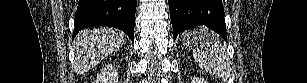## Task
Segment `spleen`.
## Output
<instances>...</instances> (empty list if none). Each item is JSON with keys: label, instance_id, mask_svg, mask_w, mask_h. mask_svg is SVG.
<instances>
[{"label": "spleen", "instance_id": "3e777b00", "mask_svg": "<svg viewBox=\"0 0 307 83\" xmlns=\"http://www.w3.org/2000/svg\"><path fill=\"white\" fill-rule=\"evenodd\" d=\"M189 38L193 43L194 60L200 68L225 80L230 75V63L218 36L209 30L200 29L192 31Z\"/></svg>", "mask_w": 307, "mask_h": 83}]
</instances>
